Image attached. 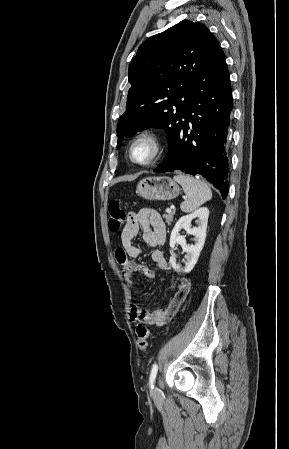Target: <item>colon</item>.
I'll return each mask as SVG.
<instances>
[{"mask_svg":"<svg viewBox=\"0 0 289 449\" xmlns=\"http://www.w3.org/2000/svg\"><path fill=\"white\" fill-rule=\"evenodd\" d=\"M109 212V228L112 232H118L126 221V212L119 201H112L108 207ZM137 344L141 351H146L148 347V339L150 336L149 329L144 325H139L136 329Z\"/></svg>","mask_w":289,"mask_h":449,"instance_id":"1","label":"colon"}]
</instances>
